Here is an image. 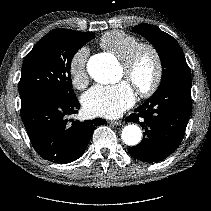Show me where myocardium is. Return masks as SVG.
I'll use <instances>...</instances> for the list:
<instances>
[{
	"label": "myocardium",
	"instance_id": "1",
	"mask_svg": "<svg viewBox=\"0 0 211 211\" xmlns=\"http://www.w3.org/2000/svg\"><path fill=\"white\" fill-rule=\"evenodd\" d=\"M149 52L154 60V75L151 82L145 87H137L139 95L143 98L152 96L159 88L163 78V61L157 47L150 42H140L121 60L122 66L127 72H131L134 68L139 56L143 52Z\"/></svg>",
	"mask_w": 211,
	"mask_h": 211
}]
</instances>
